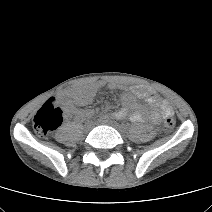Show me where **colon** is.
Instances as JSON below:
<instances>
[{
    "label": "colon",
    "instance_id": "5ec220e1",
    "mask_svg": "<svg viewBox=\"0 0 212 212\" xmlns=\"http://www.w3.org/2000/svg\"><path fill=\"white\" fill-rule=\"evenodd\" d=\"M63 109L57 104L55 98L47 100L35 113L33 117V128L40 136H47L60 126L63 120ZM165 126L172 129L175 120L167 117Z\"/></svg>",
    "mask_w": 212,
    "mask_h": 212
}]
</instances>
